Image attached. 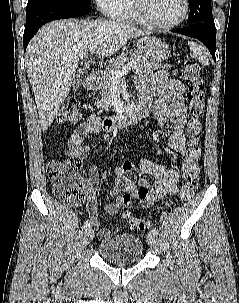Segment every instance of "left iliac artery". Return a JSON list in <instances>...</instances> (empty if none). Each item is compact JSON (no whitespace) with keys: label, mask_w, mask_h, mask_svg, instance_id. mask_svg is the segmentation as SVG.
I'll use <instances>...</instances> for the list:
<instances>
[{"label":"left iliac artery","mask_w":239,"mask_h":303,"mask_svg":"<svg viewBox=\"0 0 239 303\" xmlns=\"http://www.w3.org/2000/svg\"><path fill=\"white\" fill-rule=\"evenodd\" d=\"M152 233L155 234V235H158L159 231L157 228H153L152 229Z\"/></svg>","instance_id":"left-iliac-artery-1"}]
</instances>
